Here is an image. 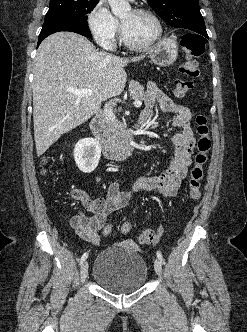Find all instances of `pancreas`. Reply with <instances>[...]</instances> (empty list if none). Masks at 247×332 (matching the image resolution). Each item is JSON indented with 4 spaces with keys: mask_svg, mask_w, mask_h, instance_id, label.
<instances>
[{
    "mask_svg": "<svg viewBox=\"0 0 247 332\" xmlns=\"http://www.w3.org/2000/svg\"><path fill=\"white\" fill-rule=\"evenodd\" d=\"M130 95L134 100H143L144 99V87L138 82H134L129 86ZM112 132L111 141L116 146L124 144L130 137L129 133L126 130L125 122H115L113 127L110 129Z\"/></svg>",
    "mask_w": 247,
    "mask_h": 332,
    "instance_id": "pancreas-1",
    "label": "pancreas"
}]
</instances>
